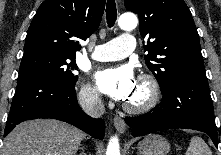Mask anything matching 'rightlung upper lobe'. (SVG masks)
I'll use <instances>...</instances> for the list:
<instances>
[{"label":"right lung upper lobe","instance_id":"cb5924a9","mask_svg":"<svg viewBox=\"0 0 221 155\" xmlns=\"http://www.w3.org/2000/svg\"><path fill=\"white\" fill-rule=\"evenodd\" d=\"M105 0H45L28 29L24 55L50 53L75 58L101 22Z\"/></svg>","mask_w":221,"mask_h":155}]
</instances>
